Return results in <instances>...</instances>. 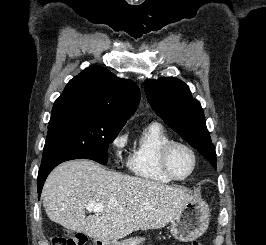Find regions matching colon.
<instances>
[{
	"label": "colon",
	"mask_w": 266,
	"mask_h": 245,
	"mask_svg": "<svg viewBox=\"0 0 266 245\" xmlns=\"http://www.w3.org/2000/svg\"><path fill=\"white\" fill-rule=\"evenodd\" d=\"M84 235L81 233L66 232L64 236H53L51 238V245H84ZM192 245H199L197 241H193Z\"/></svg>",
	"instance_id": "5ec220e1"
}]
</instances>
